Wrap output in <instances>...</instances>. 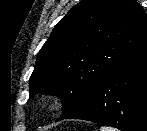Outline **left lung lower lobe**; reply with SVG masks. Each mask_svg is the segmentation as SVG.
<instances>
[{
	"instance_id": "obj_1",
	"label": "left lung lower lobe",
	"mask_w": 147,
	"mask_h": 131,
	"mask_svg": "<svg viewBox=\"0 0 147 131\" xmlns=\"http://www.w3.org/2000/svg\"><path fill=\"white\" fill-rule=\"evenodd\" d=\"M66 119H81L121 131H147V42L122 58L86 103Z\"/></svg>"
}]
</instances>
